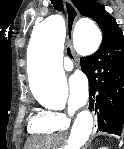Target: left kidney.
<instances>
[{"label": "left kidney", "instance_id": "obj_1", "mask_svg": "<svg viewBox=\"0 0 124 149\" xmlns=\"http://www.w3.org/2000/svg\"><path fill=\"white\" fill-rule=\"evenodd\" d=\"M100 149H107V147H101Z\"/></svg>", "mask_w": 124, "mask_h": 149}]
</instances>
